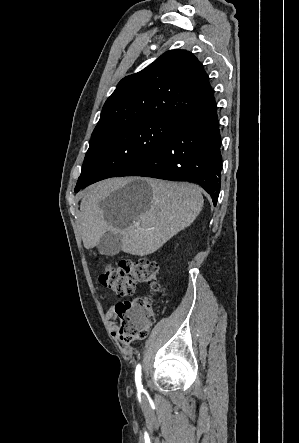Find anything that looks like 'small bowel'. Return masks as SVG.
<instances>
[{"label": "small bowel", "mask_w": 299, "mask_h": 443, "mask_svg": "<svg viewBox=\"0 0 299 443\" xmlns=\"http://www.w3.org/2000/svg\"><path fill=\"white\" fill-rule=\"evenodd\" d=\"M105 319L107 320L108 328L110 333L115 336L118 332V325H117V315L115 311V305L110 306L106 313H105Z\"/></svg>", "instance_id": "obj_1"}]
</instances>
